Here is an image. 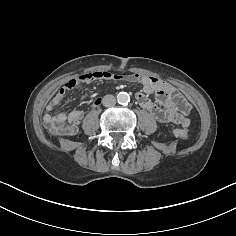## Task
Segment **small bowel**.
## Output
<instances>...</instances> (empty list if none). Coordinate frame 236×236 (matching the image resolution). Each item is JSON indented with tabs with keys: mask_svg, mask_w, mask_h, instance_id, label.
<instances>
[{
	"mask_svg": "<svg viewBox=\"0 0 236 236\" xmlns=\"http://www.w3.org/2000/svg\"><path fill=\"white\" fill-rule=\"evenodd\" d=\"M103 72V71H101ZM94 73H86L78 77L67 80L54 94L48 105L46 113L43 116V122L48 132L53 136H70L78 131V126L84 117V111L76 109L70 113L52 114L54 109L62 103L66 94L81 84L90 83L96 79H113L117 81L137 82L143 86V89L136 94L138 104L160 123H174L187 127L189 119L186 117L192 110L191 104L178 93L167 82L152 76H143L139 74L114 75L109 78L99 77ZM155 94L160 105L152 102L148 95ZM101 104V98H96L92 102V107H98Z\"/></svg>",
	"mask_w": 236,
	"mask_h": 236,
	"instance_id": "c3829d8e",
	"label": "small bowel"
}]
</instances>
